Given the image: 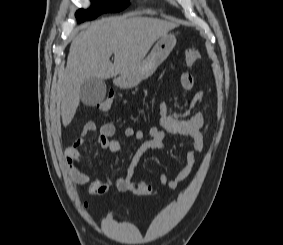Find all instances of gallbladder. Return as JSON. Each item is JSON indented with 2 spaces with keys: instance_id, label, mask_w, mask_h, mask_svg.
Returning <instances> with one entry per match:
<instances>
[{
  "instance_id": "1",
  "label": "gallbladder",
  "mask_w": 283,
  "mask_h": 245,
  "mask_svg": "<svg viewBox=\"0 0 283 245\" xmlns=\"http://www.w3.org/2000/svg\"><path fill=\"white\" fill-rule=\"evenodd\" d=\"M106 96L105 81L90 77L86 79L80 88V99L84 105L94 106L104 100Z\"/></svg>"
}]
</instances>
